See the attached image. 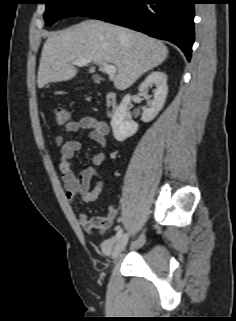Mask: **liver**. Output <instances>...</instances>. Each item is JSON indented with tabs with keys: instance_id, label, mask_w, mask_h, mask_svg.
Instances as JSON below:
<instances>
[{
	"instance_id": "liver-1",
	"label": "liver",
	"mask_w": 236,
	"mask_h": 321,
	"mask_svg": "<svg viewBox=\"0 0 236 321\" xmlns=\"http://www.w3.org/2000/svg\"><path fill=\"white\" fill-rule=\"evenodd\" d=\"M167 56L168 48L157 39L111 23L86 20L48 36L37 84L43 88L51 82L68 81L78 72L72 61L91 59L97 65H114V86L125 90L145 72L162 64ZM94 72L95 67H91L89 73Z\"/></svg>"
}]
</instances>
